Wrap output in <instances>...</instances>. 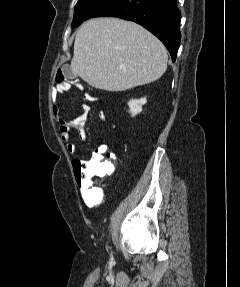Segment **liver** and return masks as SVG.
I'll return each instance as SVG.
<instances>
[{
	"label": "liver",
	"mask_w": 240,
	"mask_h": 287,
	"mask_svg": "<svg viewBox=\"0 0 240 287\" xmlns=\"http://www.w3.org/2000/svg\"><path fill=\"white\" fill-rule=\"evenodd\" d=\"M167 61L165 46L142 26L95 18L78 30L70 68L94 88L125 91L158 80Z\"/></svg>",
	"instance_id": "obj_1"
}]
</instances>
